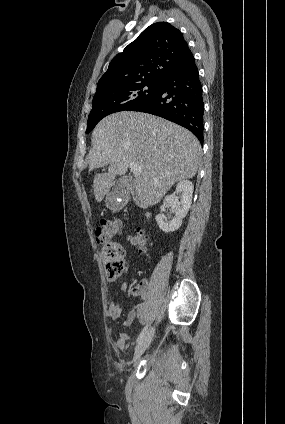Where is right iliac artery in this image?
Segmentation results:
<instances>
[{"mask_svg": "<svg viewBox=\"0 0 285 424\" xmlns=\"http://www.w3.org/2000/svg\"><path fill=\"white\" fill-rule=\"evenodd\" d=\"M147 330H148V325H146L144 328H143V330L141 331V333L139 334V336H138V338H137V340H136V342L137 343H139L142 339H143V337L145 336V334L147 333Z\"/></svg>", "mask_w": 285, "mask_h": 424, "instance_id": "1", "label": "right iliac artery"}]
</instances>
